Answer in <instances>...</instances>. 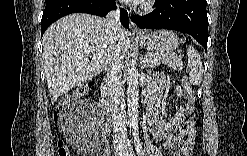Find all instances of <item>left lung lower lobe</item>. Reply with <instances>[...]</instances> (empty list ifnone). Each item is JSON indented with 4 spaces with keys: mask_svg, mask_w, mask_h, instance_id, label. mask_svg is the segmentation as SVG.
Returning a JSON list of instances; mask_svg holds the SVG:
<instances>
[{
    "mask_svg": "<svg viewBox=\"0 0 247 156\" xmlns=\"http://www.w3.org/2000/svg\"><path fill=\"white\" fill-rule=\"evenodd\" d=\"M156 9L144 16H132L141 29H170L192 35L207 51L208 18L206 0H156Z\"/></svg>",
    "mask_w": 247,
    "mask_h": 156,
    "instance_id": "left-lung-lower-lobe-1",
    "label": "left lung lower lobe"
}]
</instances>
